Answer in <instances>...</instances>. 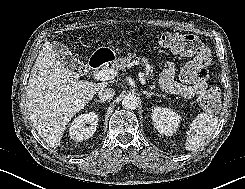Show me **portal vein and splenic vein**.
Wrapping results in <instances>:
<instances>
[{"instance_id": "portal-vein-and-splenic-vein-1", "label": "portal vein and splenic vein", "mask_w": 245, "mask_h": 189, "mask_svg": "<svg viewBox=\"0 0 245 189\" xmlns=\"http://www.w3.org/2000/svg\"><path fill=\"white\" fill-rule=\"evenodd\" d=\"M117 76V71L114 69H103L94 74V78L96 80L106 81V80H112ZM140 82L141 84H145V79L143 76H140Z\"/></svg>"}]
</instances>
